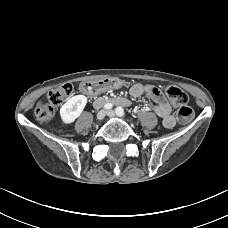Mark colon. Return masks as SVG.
<instances>
[{
    "label": "colon",
    "mask_w": 228,
    "mask_h": 228,
    "mask_svg": "<svg viewBox=\"0 0 228 228\" xmlns=\"http://www.w3.org/2000/svg\"><path fill=\"white\" fill-rule=\"evenodd\" d=\"M73 85L70 83L61 84L52 89L48 94V101L37 103L34 113L36 119L46 123L54 116L55 108L63 104L72 94ZM166 94L172 104L178 107L177 118L180 123H187L194 116L193 109L188 105V95L179 87L169 86Z\"/></svg>",
    "instance_id": "5ec220e1"
}]
</instances>
